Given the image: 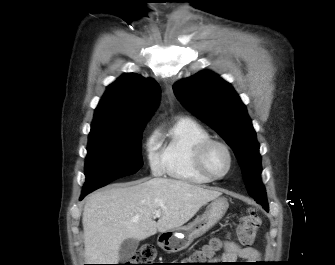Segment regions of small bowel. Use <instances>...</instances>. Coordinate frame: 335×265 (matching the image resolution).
Listing matches in <instances>:
<instances>
[{"label":"small bowel","mask_w":335,"mask_h":265,"mask_svg":"<svg viewBox=\"0 0 335 265\" xmlns=\"http://www.w3.org/2000/svg\"><path fill=\"white\" fill-rule=\"evenodd\" d=\"M260 254L257 249L249 246L242 247L240 244L232 241L223 243V252L220 256L214 259V264L234 263L238 259L247 262L259 260Z\"/></svg>","instance_id":"small-bowel-1"}]
</instances>
